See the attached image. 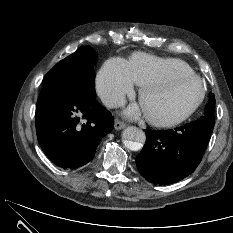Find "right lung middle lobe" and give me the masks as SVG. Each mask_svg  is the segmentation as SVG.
<instances>
[{"instance_id":"dd1d6c3e","label":"right lung middle lobe","mask_w":233,"mask_h":233,"mask_svg":"<svg viewBox=\"0 0 233 233\" xmlns=\"http://www.w3.org/2000/svg\"><path fill=\"white\" fill-rule=\"evenodd\" d=\"M97 54L90 46H82L60 61L43 79V85L54 84L95 91Z\"/></svg>"}]
</instances>
